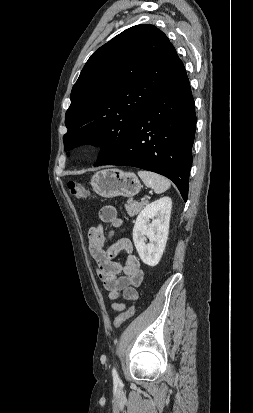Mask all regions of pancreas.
<instances>
[{"label": "pancreas", "mask_w": 253, "mask_h": 413, "mask_svg": "<svg viewBox=\"0 0 253 413\" xmlns=\"http://www.w3.org/2000/svg\"><path fill=\"white\" fill-rule=\"evenodd\" d=\"M147 203H148L147 200L142 201V202L128 201L127 204L125 205V209L128 215L133 217L137 215Z\"/></svg>", "instance_id": "cf45deb5"}]
</instances>
